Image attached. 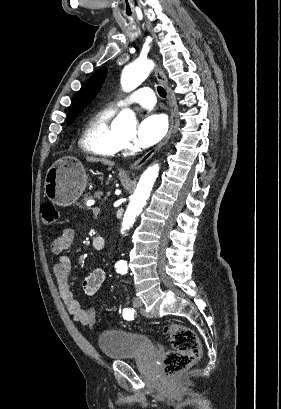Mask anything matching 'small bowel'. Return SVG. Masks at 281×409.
<instances>
[{
  "mask_svg": "<svg viewBox=\"0 0 281 409\" xmlns=\"http://www.w3.org/2000/svg\"><path fill=\"white\" fill-rule=\"evenodd\" d=\"M74 239V231L71 228H64L61 230L51 244L52 252L58 257L54 265V275L57 279L59 294L63 300L68 313L73 317L74 321L83 325L90 326L95 323L96 312L92 307L83 308L79 301L74 298L71 291L70 274H71V260L66 255V251L71 246ZM101 248L103 247V240H99ZM94 244V240H93ZM107 274L102 268H95L85 278L83 283L84 291L87 295H95L106 281Z\"/></svg>",
  "mask_w": 281,
  "mask_h": 409,
  "instance_id": "c3829d8e",
  "label": "small bowel"
}]
</instances>
